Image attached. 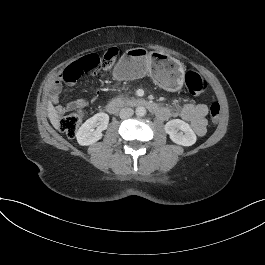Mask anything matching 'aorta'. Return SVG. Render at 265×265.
<instances>
[{"label":"aorta","instance_id":"1","mask_svg":"<svg viewBox=\"0 0 265 265\" xmlns=\"http://www.w3.org/2000/svg\"><path fill=\"white\" fill-rule=\"evenodd\" d=\"M135 113L138 117H143L146 114V108L143 106H138L135 110Z\"/></svg>","mask_w":265,"mask_h":265}]
</instances>
